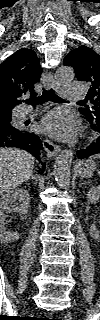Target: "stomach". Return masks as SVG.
I'll use <instances>...</instances> for the list:
<instances>
[{
  "label": "stomach",
  "mask_w": 100,
  "mask_h": 320,
  "mask_svg": "<svg viewBox=\"0 0 100 320\" xmlns=\"http://www.w3.org/2000/svg\"><path fill=\"white\" fill-rule=\"evenodd\" d=\"M96 163L92 159L82 161L77 166V171L82 178L91 177L96 169Z\"/></svg>",
  "instance_id": "1"
}]
</instances>
